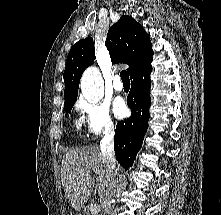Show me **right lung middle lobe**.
I'll return each instance as SVG.
<instances>
[{
	"label": "right lung middle lobe",
	"mask_w": 221,
	"mask_h": 215,
	"mask_svg": "<svg viewBox=\"0 0 221 215\" xmlns=\"http://www.w3.org/2000/svg\"><path fill=\"white\" fill-rule=\"evenodd\" d=\"M75 101H76V100L68 101V102H65V103H64V110H65V112H68V113L71 112V109H72V107H73Z\"/></svg>",
	"instance_id": "right-lung-middle-lobe-1"
}]
</instances>
